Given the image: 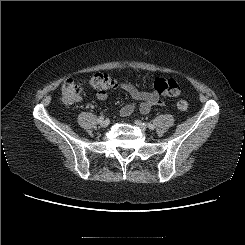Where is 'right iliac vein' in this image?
I'll return each mask as SVG.
<instances>
[{"instance_id": "63e3f726", "label": "right iliac vein", "mask_w": 245, "mask_h": 245, "mask_svg": "<svg viewBox=\"0 0 245 245\" xmlns=\"http://www.w3.org/2000/svg\"><path fill=\"white\" fill-rule=\"evenodd\" d=\"M101 127H107L109 125V121L108 120H102V122L100 123Z\"/></svg>"}]
</instances>
